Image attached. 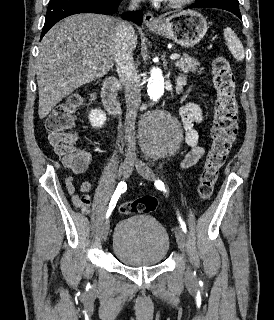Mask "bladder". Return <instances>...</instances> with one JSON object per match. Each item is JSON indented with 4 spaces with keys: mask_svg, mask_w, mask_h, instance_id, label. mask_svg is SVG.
<instances>
[{
    "mask_svg": "<svg viewBox=\"0 0 274 320\" xmlns=\"http://www.w3.org/2000/svg\"><path fill=\"white\" fill-rule=\"evenodd\" d=\"M170 249L166 228L155 218L134 214L117 222L112 250L127 266H154L163 262Z\"/></svg>",
    "mask_w": 274,
    "mask_h": 320,
    "instance_id": "1",
    "label": "bladder"
}]
</instances>
